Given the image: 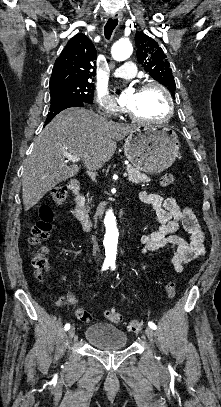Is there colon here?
<instances>
[{"label":"colon","instance_id":"1","mask_svg":"<svg viewBox=\"0 0 221 407\" xmlns=\"http://www.w3.org/2000/svg\"><path fill=\"white\" fill-rule=\"evenodd\" d=\"M175 181V177L172 173H166L162 176L160 184L163 187L172 185ZM68 188L66 186H56L49 190V196L55 205H62L67 198ZM39 221L32 228L31 245L34 246L32 264L38 271H43L47 267L48 263V250L41 245V242L48 238L52 230L53 212L50 207L44 205L39 210ZM184 260V258H181ZM165 293L169 298H173L176 294V287L173 281L167 282L165 286ZM75 315L81 322H90L92 320V314L83 308H76ZM104 316L107 321L111 323H119L122 321L121 314L114 310H106ZM144 327L143 320L132 319L127 322V329L133 333L142 332Z\"/></svg>","mask_w":221,"mask_h":407}]
</instances>
